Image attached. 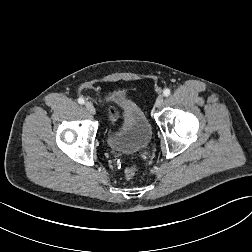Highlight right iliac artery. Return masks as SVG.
<instances>
[{
  "mask_svg": "<svg viewBox=\"0 0 252 252\" xmlns=\"http://www.w3.org/2000/svg\"><path fill=\"white\" fill-rule=\"evenodd\" d=\"M84 102H85V101H84L83 98H79V99H78V103H79V104H84Z\"/></svg>",
  "mask_w": 252,
  "mask_h": 252,
  "instance_id": "1",
  "label": "right iliac artery"
}]
</instances>
